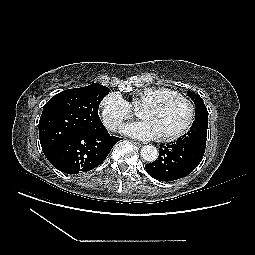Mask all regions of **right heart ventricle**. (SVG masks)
<instances>
[{
    "instance_id": "e07e8e85",
    "label": "right heart ventricle",
    "mask_w": 255,
    "mask_h": 255,
    "mask_svg": "<svg viewBox=\"0 0 255 255\" xmlns=\"http://www.w3.org/2000/svg\"><path fill=\"white\" fill-rule=\"evenodd\" d=\"M171 92H173V90L167 87H148L140 91L137 94L136 98L132 100L131 104L135 105L137 103H140L142 105H145L151 101H154L160 96L167 95Z\"/></svg>"
}]
</instances>
